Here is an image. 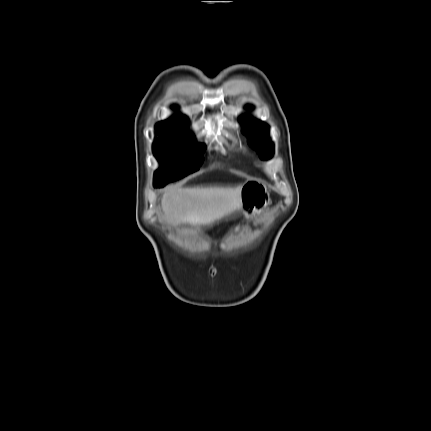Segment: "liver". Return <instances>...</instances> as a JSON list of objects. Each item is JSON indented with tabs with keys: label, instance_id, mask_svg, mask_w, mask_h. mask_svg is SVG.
Listing matches in <instances>:
<instances>
[{
	"label": "liver",
	"instance_id": "6515ba94",
	"mask_svg": "<svg viewBox=\"0 0 431 431\" xmlns=\"http://www.w3.org/2000/svg\"><path fill=\"white\" fill-rule=\"evenodd\" d=\"M237 186L172 187L161 198L165 218L173 226L212 225L240 211Z\"/></svg>",
	"mask_w": 431,
	"mask_h": 431
}]
</instances>
